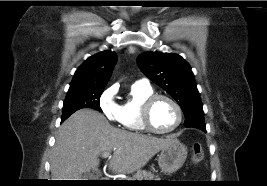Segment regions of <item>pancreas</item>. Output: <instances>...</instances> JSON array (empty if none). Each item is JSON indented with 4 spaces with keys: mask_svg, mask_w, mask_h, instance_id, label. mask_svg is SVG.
I'll list each match as a JSON object with an SVG mask.
<instances>
[{
    "mask_svg": "<svg viewBox=\"0 0 267 186\" xmlns=\"http://www.w3.org/2000/svg\"><path fill=\"white\" fill-rule=\"evenodd\" d=\"M130 180H137V181H160V178L158 175H154L151 172L148 171H140L133 175V177Z\"/></svg>",
    "mask_w": 267,
    "mask_h": 186,
    "instance_id": "1",
    "label": "pancreas"
}]
</instances>
